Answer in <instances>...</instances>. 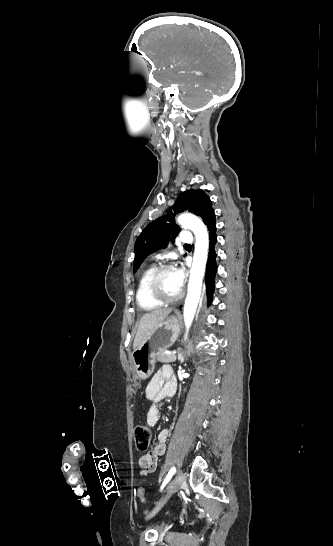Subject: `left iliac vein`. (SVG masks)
<instances>
[{
    "label": "left iliac vein",
    "mask_w": 333,
    "mask_h": 546,
    "mask_svg": "<svg viewBox=\"0 0 333 546\" xmlns=\"http://www.w3.org/2000/svg\"><path fill=\"white\" fill-rule=\"evenodd\" d=\"M186 482V475L183 473V472H180L178 474V476L176 477L175 480H173L172 482H170L167 487H166V491H167V495L166 497L159 502V504L147 515V519L153 517L162 507L163 505L167 502V500L169 499L170 495H172L174 492H177Z\"/></svg>",
    "instance_id": "1"
}]
</instances>
